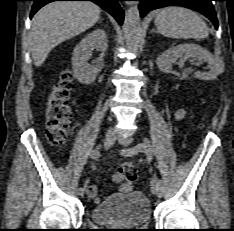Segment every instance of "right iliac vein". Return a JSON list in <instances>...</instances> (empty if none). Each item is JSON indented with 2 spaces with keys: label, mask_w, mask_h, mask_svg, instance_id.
I'll return each mask as SVG.
<instances>
[{
  "label": "right iliac vein",
  "mask_w": 234,
  "mask_h": 231,
  "mask_svg": "<svg viewBox=\"0 0 234 231\" xmlns=\"http://www.w3.org/2000/svg\"><path fill=\"white\" fill-rule=\"evenodd\" d=\"M115 140H116V133H115V131L109 130L106 133V136H105V139H104V147L106 149H109L114 144ZM77 194L80 197H83L84 196V191L77 190Z\"/></svg>",
  "instance_id": "63e3f726"
}]
</instances>
